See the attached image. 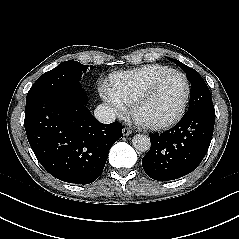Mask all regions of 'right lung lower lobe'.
I'll return each instance as SVG.
<instances>
[{
  "mask_svg": "<svg viewBox=\"0 0 239 239\" xmlns=\"http://www.w3.org/2000/svg\"><path fill=\"white\" fill-rule=\"evenodd\" d=\"M86 102L81 89L26 98L24 125L29 144L45 170L68 183L95 181L110 148L122 137L120 123H100Z\"/></svg>",
  "mask_w": 239,
  "mask_h": 239,
  "instance_id": "1",
  "label": "right lung lower lobe"
}]
</instances>
